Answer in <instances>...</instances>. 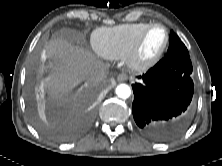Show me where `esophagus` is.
I'll return each instance as SVG.
<instances>
[{
  "label": "esophagus",
  "instance_id": "obj_1",
  "mask_svg": "<svg viewBox=\"0 0 222 166\" xmlns=\"http://www.w3.org/2000/svg\"><path fill=\"white\" fill-rule=\"evenodd\" d=\"M128 79V75L125 73H121L117 76V80L120 82L126 81Z\"/></svg>",
  "mask_w": 222,
  "mask_h": 166
}]
</instances>
